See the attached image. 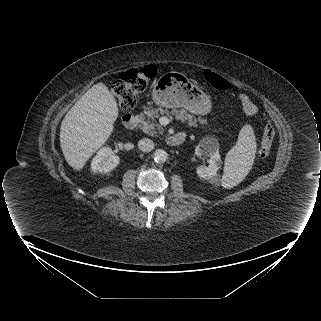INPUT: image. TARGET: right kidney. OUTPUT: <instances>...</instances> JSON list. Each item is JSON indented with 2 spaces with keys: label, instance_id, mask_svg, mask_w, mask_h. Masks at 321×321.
I'll use <instances>...</instances> for the list:
<instances>
[{
  "label": "right kidney",
  "instance_id": "obj_1",
  "mask_svg": "<svg viewBox=\"0 0 321 321\" xmlns=\"http://www.w3.org/2000/svg\"><path fill=\"white\" fill-rule=\"evenodd\" d=\"M119 164V157L110 147L101 148L91 162V169L95 173H106Z\"/></svg>",
  "mask_w": 321,
  "mask_h": 321
}]
</instances>
